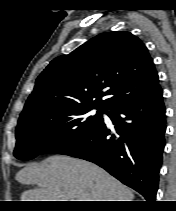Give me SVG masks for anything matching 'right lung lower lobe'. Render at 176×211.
<instances>
[{"label":"right lung lower lobe","mask_w":176,"mask_h":211,"mask_svg":"<svg viewBox=\"0 0 176 211\" xmlns=\"http://www.w3.org/2000/svg\"><path fill=\"white\" fill-rule=\"evenodd\" d=\"M158 85L149 94L111 109L115 130L104 122L57 152L96 163L125 185L155 200L165 146V106Z\"/></svg>","instance_id":"right-lung-lower-lobe-1"}]
</instances>
